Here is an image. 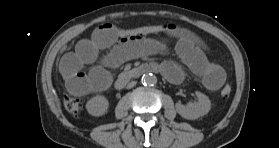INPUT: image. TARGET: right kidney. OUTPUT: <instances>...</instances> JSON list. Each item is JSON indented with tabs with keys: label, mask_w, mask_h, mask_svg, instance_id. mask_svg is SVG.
Masks as SVG:
<instances>
[{
	"label": "right kidney",
	"mask_w": 279,
	"mask_h": 148,
	"mask_svg": "<svg viewBox=\"0 0 279 148\" xmlns=\"http://www.w3.org/2000/svg\"><path fill=\"white\" fill-rule=\"evenodd\" d=\"M109 102L106 97L97 95L86 103V109L93 116H102L107 113Z\"/></svg>",
	"instance_id": "ca27d5eb"
}]
</instances>
